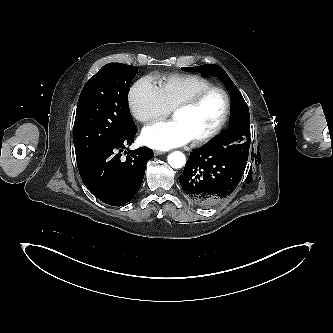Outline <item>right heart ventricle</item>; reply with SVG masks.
Returning a JSON list of instances; mask_svg holds the SVG:
<instances>
[{
    "label": "right heart ventricle",
    "mask_w": 333,
    "mask_h": 333,
    "mask_svg": "<svg viewBox=\"0 0 333 333\" xmlns=\"http://www.w3.org/2000/svg\"><path fill=\"white\" fill-rule=\"evenodd\" d=\"M213 86L207 78L195 74H173L158 81V89L167 107L173 110L179 103L197 92Z\"/></svg>",
    "instance_id": "e07e8e85"
}]
</instances>
